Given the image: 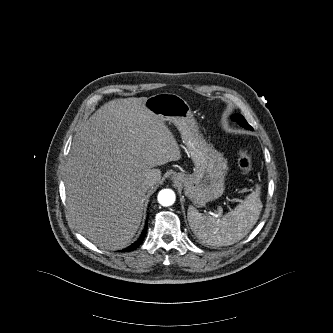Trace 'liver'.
<instances>
[{
	"instance_id": "1",
	"label": "liver",
	"mask_w": 333,
	"mask_h": 333,
	"mask_svg": "<svg viewBox=\"0 0 333 333\" xmlns=\"http://www.w3.org/2000/svg\"><path fill=\"white\" fill-rule=\"evenodd\" d=\"M146 97L114 99L75 135L66 168L69 214L77 230L101 249L127 247L153 186L147 174L181 158L164 122L146 109Z\"/></svg>"
}]
</instances>
